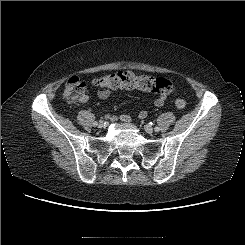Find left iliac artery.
Instances as JSON below:
<instances>
[{
	"label": "left iliac artery",
	"instance_id": "44dca946",
	"mask_svg": "<svg viewBox=\"0 0 245 245\" xmlns=\"http://www.w3.org/2000/svg\"><path fill=\"white\" fill-rule=\"evenodd\" d=\"M150 124L152 125L153 123L152 122H150ZM160 129H159V127H155V131H159Z\"/></svg>",
	"mask_w": 245,
	"mask_h": 245
}]
</instances>
